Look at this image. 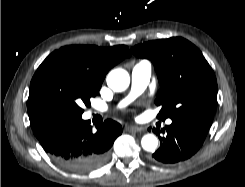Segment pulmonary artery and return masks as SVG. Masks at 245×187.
I'll use <instances>...</instances> for the list:
<instances>
[{
    "label": "pulmonary artery",
    "mask_w": 245,
    "mask_h": 187,
    "mask_svg": "<svg viewBox=\"0 0 245 187\" xmlns=\"http://www.w3.org/2000/svg\"><path fill=\"white\" fill-rule=\"evenodd\" d=\"M151 69L152 65L147 60L140 61L133 65L131 70L132 90L130 98L142 93L145 90L151 78ZM167 123L170 124L171 120H168Z\"/></svg>",
    "instance_id": "e3ab8cb5"
}]
</instances>
